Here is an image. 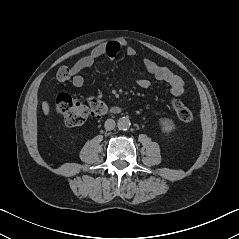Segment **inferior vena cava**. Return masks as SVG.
<instances>
[{"label": "inferior vena cava", "mask_w": 239, "mask_h": 239, "mask_svg": "<svg viewBox=\"0 0 239 239\" xmlns=\"http://www.w3.org/2000/svg\"><path fill=\"white\" fill-rule=\"evenodd\" d=\"M115 125L116 123L113 119H107L105 121L104 127L107 131H109V130H113L115 128Z\"/></svg>", "instance_id": "1"}]
</instances>
